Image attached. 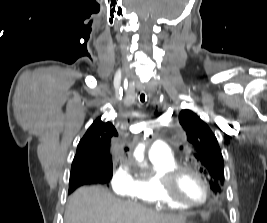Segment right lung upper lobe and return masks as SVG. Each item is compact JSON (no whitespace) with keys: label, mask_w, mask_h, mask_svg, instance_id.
Here are the masks:
<instances>
[{"label":"right lung upper lobe","mask_w":267,"mask_h":223,"mask_svg":"<svg viewBox=\"0 0 267 223\" xmlns=\"http://www.w3.org/2000/svg\"><path fill=\"white\" fill-rule=\"evenodd\" d=\"M118 133L110 122L96 119L80 140L71 173L103 174L112 167L109 143Z\"/></svg>","instance_id":"obj_1"}]
</instances>
